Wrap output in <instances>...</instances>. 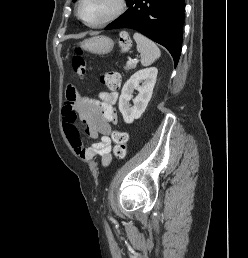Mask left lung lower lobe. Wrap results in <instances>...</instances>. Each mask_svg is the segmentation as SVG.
<instances>
[{
  "instance_id": "left-lung-lower-lobe-1",
  "label": "left lung lower lobe",
  "mask_w": 248,
  "mask_h": 258,
  "mask_svg": "<svg viewBox=\"0 0 248 258\" xmlns=\"http://www.w3.org/2000/svg\"><path fill=\"white\" fill-rule=\"evenodd\" d=\"M128 9L105 30L135 29L163 45L177 65L181 47L185 0H129Z\"/></svg>"
}]
</instances>
